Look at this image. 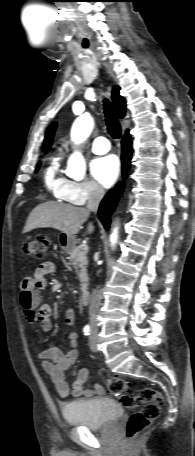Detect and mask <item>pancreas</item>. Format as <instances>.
Returning <instances> with one entry per match:
<instances>
[{
  "instance_id": "cf45deb5",
  "label": "pancreas",
  "mask_w": 195,
  "mask_h": 456,
  "mask_svg": "<svg viewBox=\"0 0 195 456\" xmlns=\"http://www.w3.org/2000/svg\"><path fill=\"white\" fill-rule=\"evenodd\" d=\"M71 265L78 270V279L80 282L81 290L83 291L87 285V251L83 250L80 246L74 247L69 252Z\"/></svg>"
}]
</instances>
